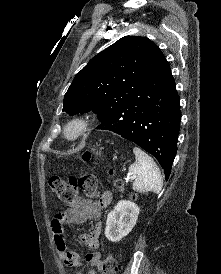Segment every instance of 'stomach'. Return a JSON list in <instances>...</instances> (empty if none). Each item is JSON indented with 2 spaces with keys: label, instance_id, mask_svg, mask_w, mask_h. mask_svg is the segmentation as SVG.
Masks as SVG:
<instances>
[{
  "label": "stomach",
  "instance_id": "1",
  "mask_svg": "<svg viewBox=\"0 0 221 274\" xmlns=\"http://www.w3.org/2000/svg\"><path fill=\"white\" fill-rule=\"evenodd\" d=\"M96 155H100V152L98 153V152H96Z\"/></svg>",
  "mask_w": 221,
  "mask_h": 274
}]
</instances>
